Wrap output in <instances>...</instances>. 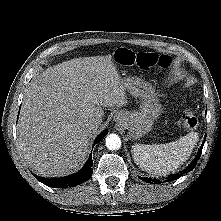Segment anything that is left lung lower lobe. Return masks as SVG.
<instances>
[{"mask_svg": "<svg viewBox=\"0 0 221 221\" xmlns=\"http://www.w3.org/2000/svg\"><path fill=\"white\" fill-rule=\"evenodd\" d=\"M205 139H206V137H205ZM205 139H204V142H205ZM204 142H203V144H202V146H201V148H200V150H199V152H198V155L196 156L195 160L189 165V167H187V169H185V170H183V171H181V172H179V173H177V174L170 175L167 181L176 180V179H178L181 175H183L184 173H187V172L191 171L192 169H194V167L196 166L197 160H198V159L200 158V156H201V152H202V149H203ZM140 179L143 180V181H145V182H150V181H151V179H149V178L140 177ZM154 182L159 183L160 181H159V180H154Z\"/></svg>", "mask_w": 221, "mask_h": 221, "instance_id": "obj_1", "label": "left lung lower lobe"}]
</instances>
